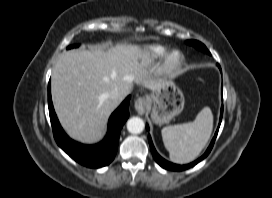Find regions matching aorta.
Returning <instances> with one entry per match:
<instances>
[{"instance_id":"aorta-1","label":"aorta","mask_w":272,"mask_h":198,"mask_svg":"<svg viewBox=\"0 0 272 198\" xmlns=\"http://www.w3.org/2000/svg\"><path fill=\"white\" fill-rule=\"evenodd\" d=\"M144 127V121L139 117H132L127 121V130L132 134L141 133Z\"/></svg>"}]
</instances>
